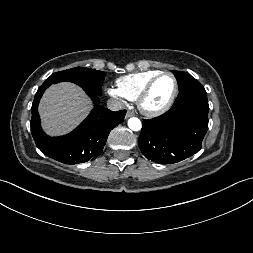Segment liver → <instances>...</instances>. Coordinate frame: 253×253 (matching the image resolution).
<instances>
[{
	"instance_id": "1",
	"label": "liver",
	"mask_w": 253,
	"mask_h": 253,
	"mask_svg": "<svg viewBox=\"0 0 253 253\" xmlns=\"http://www.w3.org/2000/svg\"><path fill=\"white\" fill-rule=\"evenodd\" d=\"M91 101L73 83L62 82L46 90L39 104L42 127L51 136L73 130L89 113Z\"/></svg>"
}]
</instances>
